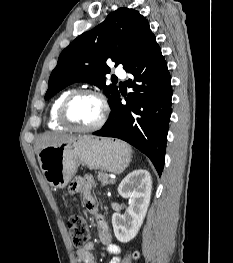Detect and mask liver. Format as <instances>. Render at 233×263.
Masks as SVG:
<instances>
[{
  "instance_id": "1",
  "label": "liver",
  "mask_w": 233,
  "mask_h": 263,
  "mask_svg": "<svg viewBox=\"0 0 233 263\" xmlns=\"http://www.w3.org/2000/svg\"><path fill=\"white\" fill-rule=\"evenodd\" d=\"M74 136L61 134L57 132H45L38 136L34 144L35 153L39 154V152L46 146L56 145L62 141L73 138Z\"/></svg>"
}]
</instances>
